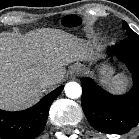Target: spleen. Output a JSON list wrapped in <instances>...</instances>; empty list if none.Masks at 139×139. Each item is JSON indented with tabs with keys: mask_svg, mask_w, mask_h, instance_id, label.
<instances>
[{
	"mask_svg": "<svg viewBox=\"0 0 139 139\" xmlns=\"http://www.w3.org/2000/svg\"><path fill=\"white\" fill-rule=\"evenodd\" d=\"M112 85L116 90H121L125 85V81L119 77H116L115 80L112 82Z\"/></svg>",
	"mask_w": 139,
	"mask_h": 139,
	"instance_id": "spleen-1",
	"label": "spleen"
}]
</instances>
